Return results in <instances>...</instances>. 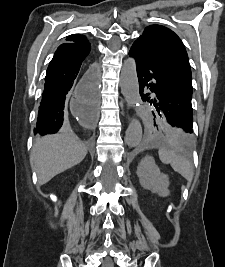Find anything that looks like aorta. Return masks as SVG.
<instances>
[{"label": "aorta", "mask_w": 225, "mask_h": 267, "mask_svg": "<svg viewBox=\"0 0 225 267\" xmlns=\"http://www.w3.org/2000/svg\"><path fill=\"white\" fill-rule=\"evenodd\" d=\"M120 87L128 104L133 106L139 101V83L136 63L133 58H128L122 67ZM142 139V126L137 118H133L125 135V142L129 147H136Z\"/></svg>", "instance_id": "762f6f07"}]
</instances>
